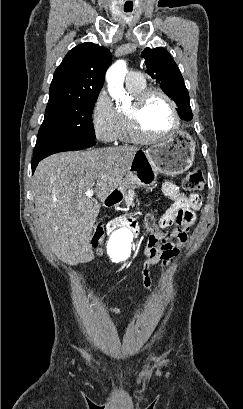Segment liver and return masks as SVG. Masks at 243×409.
<instances>
[{
	"label": "liver",
	"instance_id": "1",
	"mask_svg": "<svg viewBox=\"0 0 243 409\" xmlns=\"http://www.w3.org/2000/svg\"><path fill=\"white\" fill-rule=\"evenodd\" d=\"M139 151L134 146L62 152L42 160L33 176L38 223L55 255L69 265L90 249L100 203L123 184ZM94 188L96 198L85 196Z\"/></svg>",
	"mask_w": 243,
	"mask_h": 409
}]
</instances>
